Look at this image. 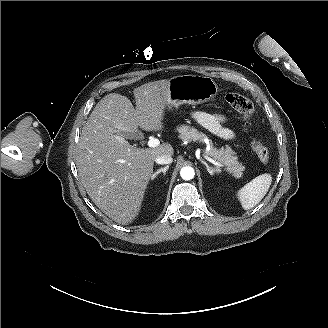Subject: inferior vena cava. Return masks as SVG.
<instances>
[{"mask_svg": "<svg viewBox=\"0 0 328 328\" xmlns=\"http://www.w3.org/2000/svg\"><path fill=\"white\" fill-rule=\"evenodd\" d=\"M155 161H156L157 164L162 165V164L172 163L173 159H172L171 156L162 155V156L157 157Z\"/></svg>", "mask_w": 328, "mask_h": 328, "instance_id": "602c4592", "label": "inferior vena cava"}]
</instances>
